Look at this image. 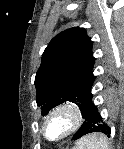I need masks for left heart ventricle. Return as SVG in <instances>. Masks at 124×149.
Listing matches in <instances>:
<instances>
[{"label":"left heart ventricle","instance_id":"1","mask_svg":"<svg viewBox=\"0 0 124 149\" xmlns=\"http://www.w3.org/2000/svg\"><path fill=\"white\" fill-rule=\"evenodd\" d=\"M67 125L68 121L65 117L51 120L48 124V135L51 138L60 137L65 132Z\"/></svg>","mask_w":124,"mask_h":149}]
</instances>
